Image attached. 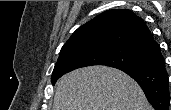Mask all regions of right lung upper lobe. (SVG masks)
Returning a JSON list of instances; mask_svg holds the SVG:
<instances>
[{
  "mask_svg": "<svg viewBox=\"0 0 171 110\" xmlns=\"http://www.w3.org/2000/svg\"><path fill=\"white\" fill-rule=\"evenodd\" d=\"M89 43L125 46L156 58L160 54V47L143 19L130 10L114 9L98 15L79 27L61 50Z\"/></svg>",
  "mask_w": 171,
  "mask_h": 110,
  "instance_id": "1",
  "label": "right lung upper lobe"
}]
</instances>
